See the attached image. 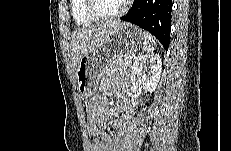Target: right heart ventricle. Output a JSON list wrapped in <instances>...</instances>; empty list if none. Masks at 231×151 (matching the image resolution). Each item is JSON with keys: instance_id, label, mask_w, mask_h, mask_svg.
<instances>
[{"instance_id": "1", "label": "right heart ventricle", "mask_w": 231, "mask_h": 151, "mask_svg": "<svg viewBox=\"0 0 231 151\" xmlns=\"http://www.w3.org/2000/svg\"><path fill=\"white\" fill-rule=\"evenodd\" d=\"M71 11L73 19L78 25L89 26L95 22L86 13L85 0H73L71 2Z\"/></svg>"}]
</instances>
